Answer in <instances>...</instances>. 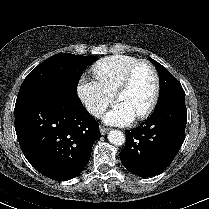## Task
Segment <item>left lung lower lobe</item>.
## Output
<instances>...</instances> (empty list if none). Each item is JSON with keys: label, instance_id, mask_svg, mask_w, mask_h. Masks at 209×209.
Returning <instances> with one entry per match:
<instances>
[{"label": "left lung lower lobe", "instance_id": "1", "mask_svg": "<svg viewBox=\"0 0 209 209\" xmlns=\"http://www.w3.org/2000/svg\"><path fill=\"white\" fill-rule=\"evenodd\" d=\"M186 123L185 96L158 102L144 123L125 131L126 144L120 152L124 167L140 177L161 173L171 164L183 144Z\"/></svg>", "mask_w": 209, "mask_h": 209}]
</instances>
